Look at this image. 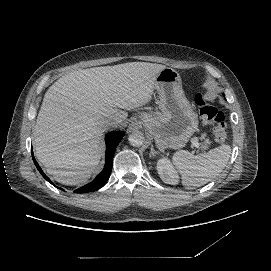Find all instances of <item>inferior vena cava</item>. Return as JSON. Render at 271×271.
Here are the masks:
<instances>
[{
    "mask_svg": "<svg viewBox=\"0 0 271 271\" xmlns=\"http://www.w3.org/2000/svg\"><path fill=\"white\" fill-rule=\"evenodd\" d=\"M100 122V126L105 130L107 128H109L110 126L112 127H117L119 125V122L110 118H101L99 120Z\"/></svg>",
    "mask_w": 271,
    "mask_h": 271,
    "instance_id": "inferior-vena-cava-1",
    "label": "inferior vena cava"
}]
</instances>
